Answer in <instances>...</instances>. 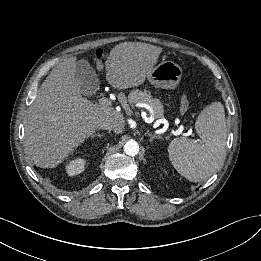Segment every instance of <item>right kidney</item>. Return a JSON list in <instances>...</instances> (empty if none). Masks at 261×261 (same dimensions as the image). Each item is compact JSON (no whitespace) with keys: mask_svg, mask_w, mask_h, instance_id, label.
<instances>
[{"mask_svg":"<svg viewBox=\"0 0 261 261\" xmlns=\"http://www.w3.org/2000/svg\"><path fill=\"white\" fill-rule=\"evenodd\" d=\"M86 160L83 158H76L66 164V172L69 176H75L84 171Z\"/></svg>","mask_w":261,"mask_h":261,"instance_id":"obj_1","label":"right kidney"}]
</instances>
